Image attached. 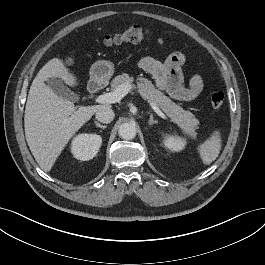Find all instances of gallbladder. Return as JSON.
<instances>
[{"mask_svg": "<svg viewBox=\"0 0 265 265\" xmlns=\"http://www.w3.org/2000/svg\"><path fill=\"white\" fill-rule=\"evenodd\" d=\"M47 86L51 88L53 92L58 94L64 99L71 100V101H77L78 96L74 93H72L65 85L64 83L57 79L56 77L50 78L48 81H46Z\"/></svg>", "mask_w": 265, "mask_h": 265, "instance_id": "1", "label": "gallbladder"}]
</instances>
